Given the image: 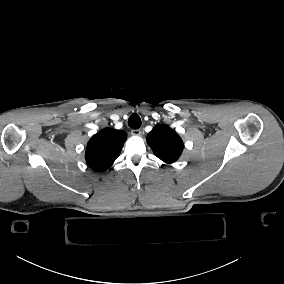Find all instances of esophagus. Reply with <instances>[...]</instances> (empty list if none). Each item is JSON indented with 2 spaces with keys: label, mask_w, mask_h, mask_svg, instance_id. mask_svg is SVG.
I'll return each instance as SVG.
<instances>
[{
  "label": "esophagus",
  "mask_w": 284,
  "mask_h": 284,
  "mask_svg": "<svg viewBox=\"0 0 284 284\" xmlns=\"http://www.w3.org/2000/svg\"><path fill=\"white\" fill-rule=\"evenodd\" d=\"M141 130L140 129H135V130H132L131 131V134L133 135V136H140L141 135Z\"/></svg>",
  "instance_id": "obj_1"
}]
</instances>
